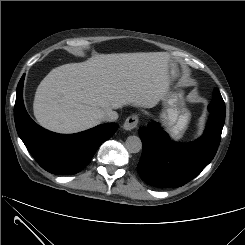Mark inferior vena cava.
<instances>
[{"mask_svg": "<svg viewBox=\"0 0 245 245\" xmlns=\"http://www.w3.org/2000/svg\"><path fill=\"white\" fill-rule=\"evenodd\" d=\"M101 119L106 122H114L118 119V113L113 110H109L103 114Z\"/></svg>", "mask_w": 245, "mask_h": 245, "instance_id": "inferior-vena-cava-1", "label": "inferior vena cava"}]
</instances>
